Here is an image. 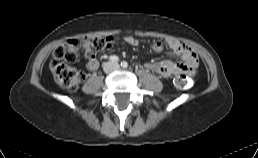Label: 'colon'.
<instances>
[{"label":"colon","mask_w":258,"mask_h":158,"mask_svg":"<svg viewBox=\"0 0 258 158\" xmlns=\"http://www.w3.org/2000/svg\"><path fill=\"white\" fill-rule=\"evenodd\" d=\"M108 37H79L66 39L54 52L51 62L58 83L68 91H75L82 82L84 75L73 67L80 55L94 57L98 52L110 47ZM191 84L189 76H183L176 80L180 89H187Z\"/></svg>","instance_id":"5ec220e1"}]
</instances>
